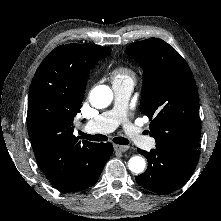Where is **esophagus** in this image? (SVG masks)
<instances>
[{
    "label": "esophagus",
    "instance_id": "esophagus-1",
    "mask_svg": "<svg viewBox=\"0 0 221 221\" xmlns=\"http://www.w3.org/2000/svg\"><path fill=\"white\" fill-rule=\"evenodd\" d=\"M114 149H115V151L126 152L129 149V147L115 144Z\"/></svg>",
    "mask_w": 221,
    "mask_h": 221
}]
</instances>
